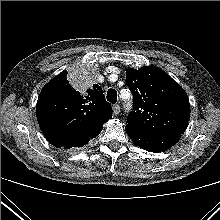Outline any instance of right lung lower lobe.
Segmentation results:
<instances>
[{"label":"right lung lower lobe","instance_id":"1","mask_svg":"<svg viewBox=\"0 0 220 220\" xmlns=\"http://www.w3.org/2000/svg\"><path fill=\"white\" fill-rule=\"evenodd\" d=\"M103 129V125H100L99 127H97L95 130H93L91 133H89L87 136L82 137L72 143L66 144L64 146H62V148H72V147H80L83 146L84 144L88 143L90 141V139L95 138ZM59 148V147H58Z\"/></svg>","mask_w":220,"mask_h":220}]
</instances>
